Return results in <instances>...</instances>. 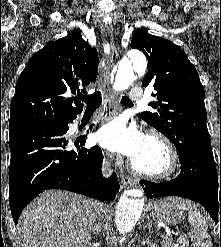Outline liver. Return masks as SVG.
<instances>
[{
	"label": "liver",
	"mask_w": 221,
	"mask_h": 247,
	"mask_svg": "<svg viewBox=\"0 0 221 247\" xmlns=\"http://www.w3.org/2000/svg\"><path fill=\"white\" fill-rule=\"evenodd\" d=\"M106 207L82 195L49 190L22 212L18 222L23 247H87L93 214Z\"/></svg>",
	"instance_id": "obj_1"
}]
</instances>
